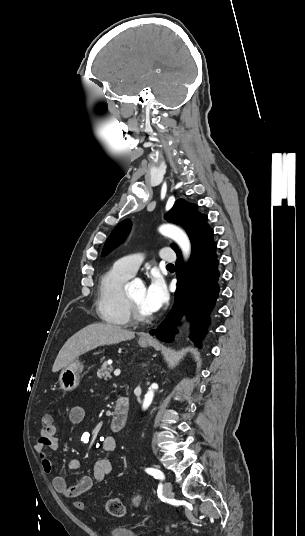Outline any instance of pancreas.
Segmentation results:
<instances>
[{
    "instance_id": "1",
    "label": "pancreas",
    "mask_w": 305,
    "mask_h": 536,
    "mask_svg": "<svg viewBox=\"0 0 305 536\" xmlns=\"http://www.w3.org/2000/svg\"><path fill=\"white\" fill-rule=\"evenodd\" d=\"M112 372H113V366H109L108 362H104V364H102L100 370H98L97 376H98V378H103V380H107V378H109V380H111Z\"/></svg>"
}]
</instances>
